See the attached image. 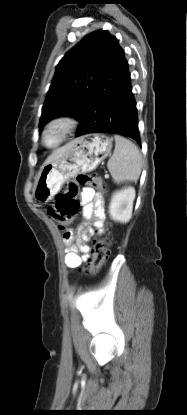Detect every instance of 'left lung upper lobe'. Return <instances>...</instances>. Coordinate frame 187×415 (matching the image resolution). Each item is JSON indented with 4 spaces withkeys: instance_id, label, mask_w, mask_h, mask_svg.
<instances>
[{
    "instance_id": "left-lung-upper-lobe-1",
    "label": "left lung upper lobe",
    "mask_w": 187,
    "mask_h": 415,
    "mask_svg": "<svg viewBox=\"0 0 187 415\" xmlns=\"http://www.w3.org/2000/svg\"><path fill=\"white\" fill-rule=\"evenodd\" d=\"M116 43L117 39L108 31L98 30L65 54L56 67L42 107L40 127L59 116L75 117L81 122L95 114L97 108L92 107L90 98Z\"/></svg>"
}]
</instances>
